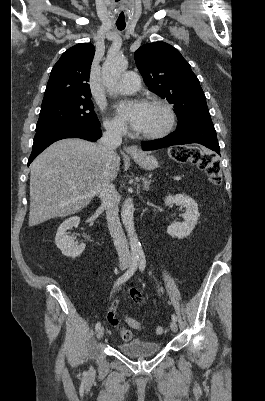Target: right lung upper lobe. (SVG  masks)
<instances>
[{"mask_svg":"<svg viewBox=\"0 0 265 401\" xmlns=\"http://www.w3.org/2000/svg\"><path fill=\"white\" fill-rule=\"evenodd\" d=\"M94 54L95 48L90 43L77 44L65 51L51 71L42 104L91 97L87 82Z\"/></svg>","mask_w":265,"mask_h":401,"instance_id":"obj_1","label":"right lung upper lobe"}]
</instances>
